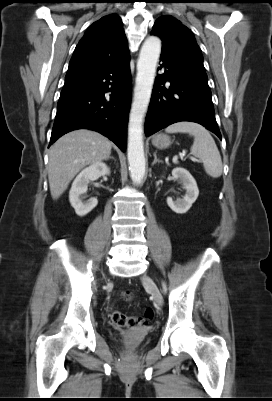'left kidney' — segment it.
Listing matches in <instances>:
<instances>
[{
	"mask_svg": "<svg viewBox=\"0 0 272 401\" xmlns=\"http://www.w3.org/2000/svg\"><path fill=\"white\" fill-rule=\"evenodd\" d=\"M172 176L182 182L186 194L182 199H177L176 201L168 197L167 204L174 212L184 214L191 208L199 195L197 183L189 171L181 167L173 169Z\"/></svg>",
	"mask_w": 272,
	"mask_h": 401,
	"instance_id": "obj_1",
	"label": "left kidney"
}]
</instances>
